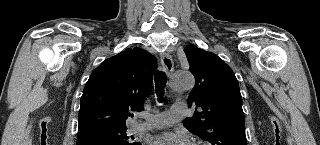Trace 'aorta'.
I'll list each match as a JSON object with an SVG mask.
<instances>
[{
    "label": "aorta",
    "mask_w": 320,
    "mask_h": 145,
    "mask_svg": "<svg viewBox=\"0 0 320 145\" xmlns=\"http://www.w3.org/2000/svg\"><path fill=\"white\" fill-rule=\"evenodd\" d=\"M194 77L188 71H175L171 77V88L174 91H185L193 88Z\"/></svg>",
    "instance_id": "762f6f07"
}]
</instances>
